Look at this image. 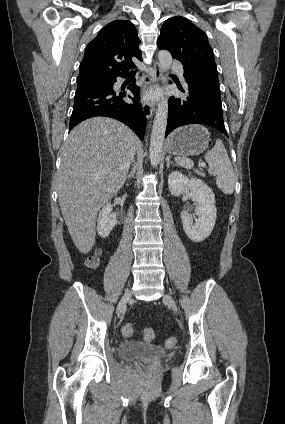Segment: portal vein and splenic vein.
I'll return each instance as SVG.
<instances>
[{"label": "portal vein and splenic vein", "instance_id": "obj_1", "mask_svg": "<svg viewBox=\"0 0 285 424\" xmlns=\"http://www.w3.org/2000/svg\"><path fill=\"white\" fill-rule=\"evenodd\" d=\"M201 166H202V167H205V166H206V164H205V163H201Z\"/></svg>", "mask_w": 285, "mask_h": 424}]
</instances>
